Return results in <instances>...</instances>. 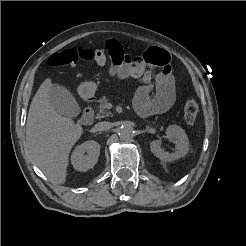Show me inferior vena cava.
Returning <instances> with one entry per match:
<instances>
[{"label":"inferior vena cava","mask_w":246,"mask_h":246,"mask_svg":"<svg viewBox=\"0 0 246 246\" xmlns=\"http://www.w3.org/2000/svg\"><path fill=\"white\" fill-rule=\"evenodd\" d=\"M112 127V124L110 122H99L95 125V129L97 131H106L109 130Z\"/></svg>","instance_id":"inferior-vena-cava-1"}]
</instances>
